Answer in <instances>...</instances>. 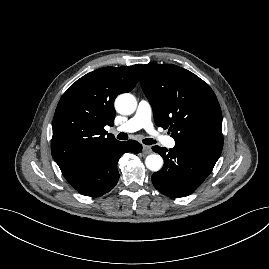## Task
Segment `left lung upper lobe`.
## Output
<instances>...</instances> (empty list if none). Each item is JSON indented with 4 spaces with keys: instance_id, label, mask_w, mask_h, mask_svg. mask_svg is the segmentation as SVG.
Segmentation results:
<instances>
[{
    "instance_id": "1",
    "label": "left lung upper lobe",
    "mask_w": 269,
    "mask_h": 269,
    "mask_svg": "<svg viewBox=\"0 0 269 269\" xmlns=\"http://www.w3.org/2000/svg\"><path fill=\"white\" fill-rule=\"evenodd\" d=\"M140 84L156 125L169 128L175 143L223 147L221 109L202 79L176 65L145 64Z\"/></svg>"
}]
</instances>
